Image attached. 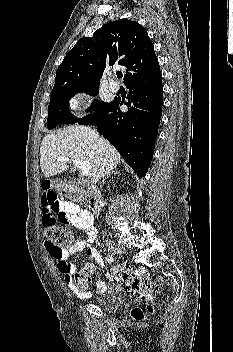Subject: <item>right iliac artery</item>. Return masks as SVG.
<instances>
[{
  "instance_id": "82829eb1",
  "label": "right iliac artery",
  "mask_w": 233,
  "mask_h": 352,
  "mask_svg": "<svg viewBox=\"0 0 233 352\" xmlns=\"http://www.w3.org/2000/svg\"><path fill=\"white\" fill-rule=\"evenodd\" d=\"M106 260H107L109 263H111V262L114 261V256H113V255H108V256L106 257Z\"/></svg>"
}]
</instances>
